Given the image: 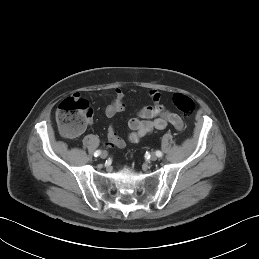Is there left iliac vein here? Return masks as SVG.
Wrapping results in <instances>:
<instances>
[{"label": "left iliac vein", "instance_id": "left-iliac-vein-1", "mask_svg": "<svg viewBox=\"0 0 259 259\" xmlns=\"http://www.w3.org/2000/svg\"><path fill=\"white\" fill-rule=\"evenodd\" d=\"M150 159L151 161H156L158 159V156L156 155V153H151Z\"/></svg>", "mask_w": 259, "mask_h": 259}]
</instances>
